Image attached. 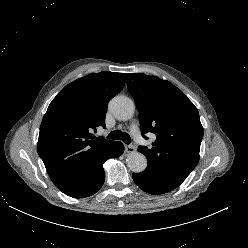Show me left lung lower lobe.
Instances as JSON below:
<instances>
[{"mask_svg":"<svg viewBox=\"0 0 248 248\" xmlns=\"http://www.w3.org/2000/svg\"><path fill=\"white\" fill-rule=\"evenodd\" d=\"M132 178L143 191L152 195L164 194L177 187L161 178L158 173L147 169L141 173H133Z\"/></svg>","mask_w":248,"mask_h":248,"instance_id":"obj_1","label":"left lung lower lobe"}]
</instances>
